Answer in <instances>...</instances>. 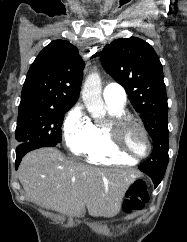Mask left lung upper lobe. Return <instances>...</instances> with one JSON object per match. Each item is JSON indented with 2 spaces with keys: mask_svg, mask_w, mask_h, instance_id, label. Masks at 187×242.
<instances>
[{
  "mask_svg": "<svg viewBox=\"0 0 187 242\" xmlns=\"http://www.w3.org/2000/svg\"><path fill=\"white\" fill-rule=\"evenodd\" d=\"M101 62L124 87L152 138L151 156L139 168L165 172L169 161L168 104L159 57L146 41L130 37L107 44Z\"/></svg>",
  "mask_w": 187,
  "mask_h": 242,
  "instance_id": "1",
  "label": "left lung upper lobe"
}]
</instances>
